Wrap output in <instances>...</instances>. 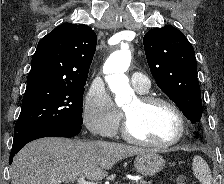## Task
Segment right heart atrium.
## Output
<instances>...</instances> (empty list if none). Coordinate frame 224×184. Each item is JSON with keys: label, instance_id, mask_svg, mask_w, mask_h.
Wrapping results in <instances>:
<instances>
[{"label": "right heart atrium", "instance_id": "right-heart-atrium-1", "mask_svg": "<svg viewBox=\"0 0 224 184\" xmlns=\"http://www.w3.org/2000/svg\"><path fill=\"white\" fill-rule=\"evenodd\" d=\"M122 113L116 107L108 91L92 85L83 106V121L86 127L101 136H112L121 123Z\"/></svg>", "mask_w": 224, "mask_h": 184}]
</instances>
